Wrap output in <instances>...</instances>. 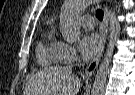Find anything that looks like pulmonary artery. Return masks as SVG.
Segmentation results:
<instances>
[{
  "mask_svg": "<svg viewBox=\"0 0 135 95\" xmlns=\"http://www.w3.org/2000/svg\"><path fill=\"white\" fill-rule=\"evenodd\" d=\"M82 24L84 26V28H86L87 30H91L94 27V19L92 16L90 15H85L82 17Z\"/></svg>",
  "mask_w": 135,
  "mask_h": 95,
  "instance_id": "1",
  "label": "pulmonary artery"
}]
</instances>
